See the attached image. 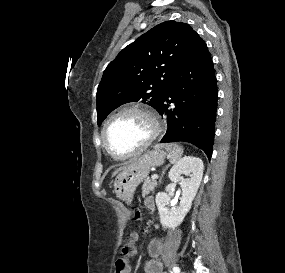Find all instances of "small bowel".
<instances>
[{"label":"small bowel","instance_id":"1","mask_svg":"<svg viewBox=\"0 0 285 273\" xmlns=\"http://www.w3.org/2000/svg\"><path fill=\"white\" fill-rule=\"evenodd\" d=\"M145 206L149 211H153L155 209L154 199L152 197L146 198ZM161 250L162 247L159 240L154 239L149 242L148 253L150 258L145 263V273H164L163 265L160 261Z\"/></svg>","mask_w":285,"mask_h":273}]
</instances>
